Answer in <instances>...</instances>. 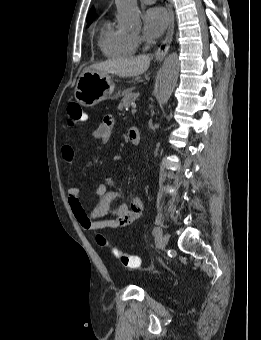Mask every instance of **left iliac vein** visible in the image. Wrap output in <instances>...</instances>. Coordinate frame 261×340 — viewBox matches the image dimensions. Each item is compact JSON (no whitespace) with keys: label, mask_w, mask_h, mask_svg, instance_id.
<instances>
[{"label":"left iliac vein","mask_w":261,"mask_h":340,"mask_svg":"<svg viewBox=\"0 0 261 340\" xmlns=\"http://www.w3.org/2000/svg\"><path fill=\"white\" fill-rule=\"evenodd\" d=\"M168 240H169V235L167 233L162 235V237L160 238L159 243H158L159 247L161 249L165 248L168 244Z\"/></svg>","instance_id":"obj_1"}]
</instances>
